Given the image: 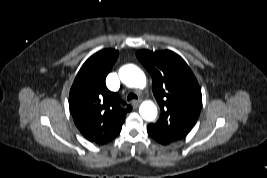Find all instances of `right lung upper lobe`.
<instances>
[{
	"label": "right lung upper lobe",
	"instance_id": "obj_1",
	"mask_svg": "<svg viewBox=\"0 0 267 178\" xmlns=\"http://www.w3.org/2000/svg\"><path fill=\"white\" fill-rule=\"evenodd\" d=\"M119 52L104 49L92 55L79 70L69 94V107L78 130L90 142L103 145L121 131L126 113L119 95L107 89L105 79Z\"/></svg>",
	"mask_w": 267,
	"mask_h": 178
}]
</instances>
